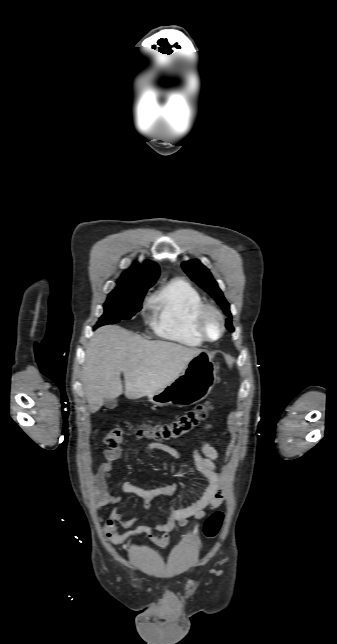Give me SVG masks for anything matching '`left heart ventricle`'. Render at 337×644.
Masks as SVG:
<instances>
[{"mask_svg": "<svg viewBox=\"0 0 337 644\" xmlns=\"http://www.w3.org/2000/svg\"><path fill=\"white\" fill-rule=\"evenodd\" d=\"M205 329L209 337L216 338L219 332L218 322L214 316H209L205 322Z\"/></svg>", "mask_w": 337, "mask_h": 644, "instance_id": "left-heart-ventricle-1", "label": "left heart ventricle"}]
</instances>
